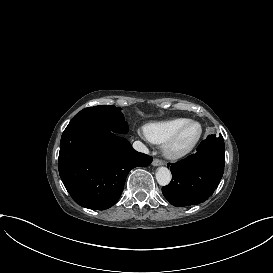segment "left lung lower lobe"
I'll list each match as a JSON object with an SVG mask.
<instances>
[{"instance_id": "1", "label": "left lung lower lobe", "mask_w": 273, "mask_h": 273, "mask_svg": "<svg viewBox=\"0 0 273 273\" xmlns=\"http://www.w3.org/2000/svg\"><path fill=\"white\" fill-rule=\"evenodd\" d=\"M225 146L222 135H209L190 155L174 164L171 182L162 188L174 206L196 205L206 201L217 188L224 172Z\"/></svg>"}]
</instances>
